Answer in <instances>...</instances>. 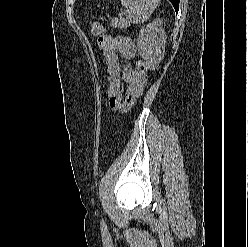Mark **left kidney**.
<instances>
[{
	"mask_svg": "<svg viewBox=\"0 0 248 247\" xmlns=\"http://www.w3.org/2000/svg\"><path fill=\"white\" fill-rule=\"evenodd\" d=\"M162 24V19L157 18L143 26L137 39L138 52L151 70H155L164 57L166 33Z\"/></svg>",
	"mask_w": 248,
	"mask_h": 247,
	"instance_id": "1",
	"label": "left kidney"
}]
</instances>
